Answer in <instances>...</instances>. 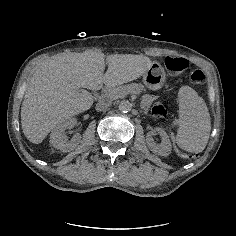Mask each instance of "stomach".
I'll return each instance as SVG.
<instances>
[{
	"instance_id": "1",
	"label": "stomach",
	"mask_w": 236,
	"mask_h": 236,
	"mask_svg": "<svg viewBox=\"0 0 236 236\" xmlns=\"http://www.w3.org/2000/svg\"><path fill=\"white\" fill-rule=\"evenodd\" d=\"M165 80V71L163 67L158 64L152 65L143 76L145 86L152 90L160 89L164 85Z\"/></svg>"
}]
</instances>
